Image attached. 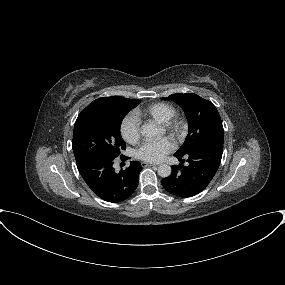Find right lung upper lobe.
Listing matches in <instances>:
<instances>
[{"label": "right lung upper lobe", "mask_w": 285, "mask_h": 285, "mask_svg": "<svg viewBox=\"0 0 285 285\" xmlns=\"http://www.w3.org/2000/svg\"><path fill=\"white\" fill-rule=\"evenodd\" d=\"M112 97H116V96H112ZM107 98H111V97H102V98L96 99V100L93 101V102H99V101L104 100V99H107Z\"/></svg>", "instance_id": "obj_1"}]
</instances>
